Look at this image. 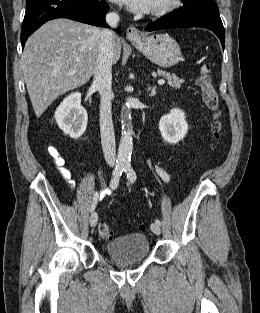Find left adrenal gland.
Returning a JSON list of instances; mask_svg holds the SVG:
<instances>
[{
	"label": "left adrenal gland",
	"mask_w": 260,
	"mask_h": 313,
	"mask_svg": "<svg viewBox=\"0 0 260 313\" xmlns=\"http://www.w3.org/2000/svg\"><path fill=\"white\" fill-rule=\"evenodd\" d=\"M148 90L151 91L150 96H154L156 94V87H148Z\"/></svg>",
	"instance_id": "1"
}]
</instances>
